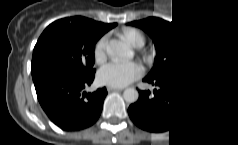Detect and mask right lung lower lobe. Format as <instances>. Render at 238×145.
Returning <instances> with one entry per match:
<instances>
[{"label": "right lung lower lobe", "mask_w": 238, "mask_h": 145, "mask_svg": "<svg viewBox=\"0 0 238 145\" xmlns=\"http://www.w3.org/2000/svg\"><path fill=\"white\" fill-rule=\"evenodd\" d=\"M38 101L49 119L62 130L79 131L99 118L106 88L86 93L94 72L81 73L58 64L31 68Z\"/></svg>", "instance_id": "98d812e1"}]
</instances>
